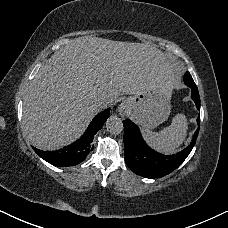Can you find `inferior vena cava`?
<instances>
[{"instance_id": "1", "label": "inferior vena cava", "mask_w": 228, "mask_h": 228, "mask_svg": "<svg viewBox=\"0 0 228 228\" xmlns=\"http://www.w3.org/2000/svg\"><path fill=\"white\" fill-rule=\"evenodd\" d=\"M108 105H109V100L104 97H101L98 100L94 101V106H96L99 109H102Z\"/></svg>"}]
</instances>
